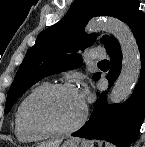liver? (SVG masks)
<instances>
[{
	"instance_id": "obj_1",
	"label": "liver",
	"mask_w": 145,
	"mask_h": 147,
	"mask_svg": "<svg viewBox=\"0 0 145 147\" xmlns=\"http://www.w3.org/2000/svg\"><path fill=\"white\" fill-rule=\"evenodd\" d=\"M61 140H56L53 142L42 143L38 147H59Z\"/></svg>"
}]
</instances>
